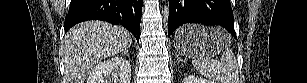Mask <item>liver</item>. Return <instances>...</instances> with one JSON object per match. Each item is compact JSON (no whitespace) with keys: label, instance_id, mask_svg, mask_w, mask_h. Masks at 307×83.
I'll return each mask as SVG.
<instances>
[{"label":"liver","instance_id":"obj_1","mask_svg":"<svg viewBox=\"0 0 307 83\" xmlns=\"http://www.w3.org/2000/svg\"><path fill=\"white\" fill-rule=\"evenodd\" d=\"M131 42L130 33L123 27L102 21L77 24L63 39L64 83H84L95 64L127 50Z\"/></svg>","mask_w":307,"mask_h":83}]
</instances>
